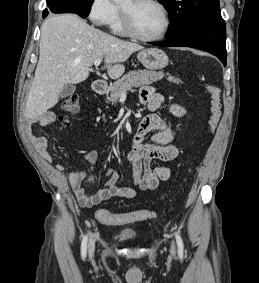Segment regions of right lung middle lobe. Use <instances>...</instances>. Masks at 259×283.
I'll return each instance as SVG.
<instances>
[{
  "label": "right lung middle lobe",
  "instance_id": "obj_1",
  "mask_svg": "<svg viewBox=\"0 0 259 283\" xmlns=\"http://www.w3.org/2000/svg\"><path fill=\"white\" fill-rule=\"evenodd\" d=\"M94 0H81V8L79 10V13L81 14V17L85 18L89 14L90 7L92 5Z\"/></svg>",
  "mask_w": 259,
  "mask_h": 283
}]
</instances>
